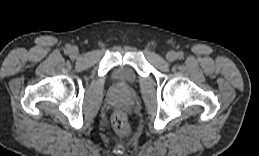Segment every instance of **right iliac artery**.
<instances>
[{
	"label": "right iliac artery",
	"instance_id": "1",
	"mask_svg": "<svg viewBox=\"0 0 259 156\" xmlns=\"http://www.w3.org/2000/svg\"><path fill=\"white\" fill-rule=\"evenodd\" d=\"M70 49H71L70 46L67 45V46H66V49H65V53H69V52H70Z\"/></svg>",
	"mask_w": 259,
	"mask_h": 156
}]
</instances>
